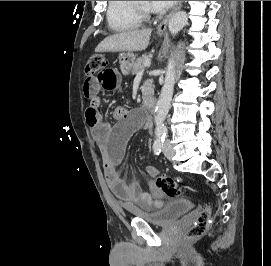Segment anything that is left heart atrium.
Listing matches in <instances>:
<instances>
[{"instance_id":"39dd6f15","label":"left heart atrium","mask_w":271,"mask_h":266,"mask_svg":"<svg viewBox=\"0 0 271 266\" xmlns=\"http://www.w3.org/2000/svg\"><path fill=\"white\" fill-rule=\"evenodd\" d=\"M176 1H150L152 10L160 11L170 8Z\"/></svg>"}]
</instances>
